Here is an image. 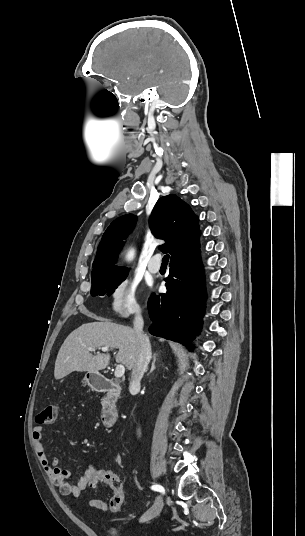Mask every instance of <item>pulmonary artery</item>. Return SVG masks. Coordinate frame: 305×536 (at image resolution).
I'll use <instances>...</instances> for the list:
<instances>
[{"mask_svg": "<svg viewBox=\"0 0 305 536\" xmlns=\"http://www.w3.org/2000/svg\"><path fill=\"white\" fill-rule=\"evenodd\" d=\"M160 261V255L159 254H153L151 256V262L148 264V270L151 273H158L160 270V264L158 263Z\"/></svg>", "mask_w": 305, "mask_h": 536, "instance_id": "obj_1", "label": "pulmonary artery"}]
</instances>
